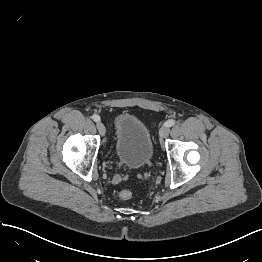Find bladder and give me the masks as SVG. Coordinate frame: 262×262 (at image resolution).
I'll list each match as a JSON object with an SVG mask.
<instances>
[{"label":"bladder","instance_id":"bladder-1","mask_svg":"<svg viewBox=\"0 0 262 262\" xmlns=\"http://www.w3.org/2000/svg\"><path fill=\"white\" fill-rule=\"evenodd\" d=\"M153 150L150 131L139 118L121 115L116 119L115 153L121 163L141 168L150 161Z\"/></svg>","mask_w":262,"mask_h":262}]
</instances>
